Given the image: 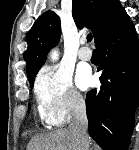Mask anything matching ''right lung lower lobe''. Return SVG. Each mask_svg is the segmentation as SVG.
Wrapping results in <instances>:
<instances>
[{"instance_id": "98d812e1", "label": "right lung lower lobe", "mask_w": 139, "mask_h": 150, "mask_svg": "<svg viewBox=\"0 0 139 150\" xmlns=\"http://www.w3.org/2000/svg\"><path fill=\"white\" fill-rule=\"evenodd\" d=\"M103 69L99 90L86 95L89 134L103 150H125L139 96V40L122 11L96 44Z\"/></svg>"}]
</instances>
